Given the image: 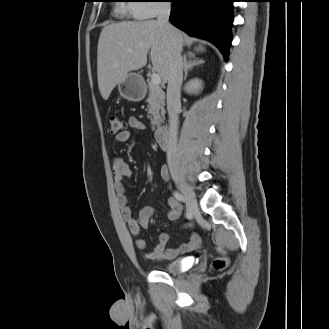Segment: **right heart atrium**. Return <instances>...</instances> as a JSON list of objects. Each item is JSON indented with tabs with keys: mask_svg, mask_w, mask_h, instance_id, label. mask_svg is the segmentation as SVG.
Masks as SVG:
<instances>
[{
	"mask_svg": "<svg viewBox=\"0 0 329 329\" xmlns=\"http://www.w3.org/2000/svg\"><path fill=\"white\" fill-rule=\"evenodd\" d=\"M166 0H135L131 13L136 19H149L166 9Z\"/></svg>",
	"mask_w": 329,
	"mask_h": 329,
	"instance_id": "obj_1",
	"label": "right heart atrium"
}]
</instances>
